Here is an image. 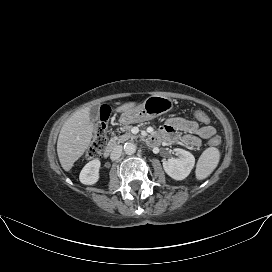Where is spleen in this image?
<instances>
[{
    "mask_svg": "<svg viewBox=\"0 0 272 272\" xmlns=\"http://www.w3.org/2000/svg\"><path fill=\"white\" fill-rule=\"evenodd\" d=\"M220 152L215 147L207 148L200 156L196 166V178L203 180L207 178L217 167Z\"/></svg>",
    "mask_w": 272,
    "mask_h": 272,
    "instance_id": "3e777b00",
    "label": "spleen"
}]
</instances>
